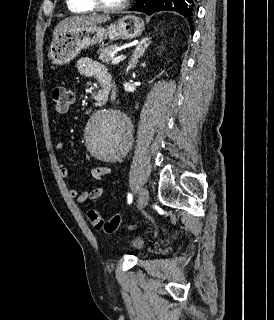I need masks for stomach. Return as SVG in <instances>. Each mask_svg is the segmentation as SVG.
Wrapping results in <instances>:
<instances>
[{
    "instance_id": "stomach-1",
    "label": "stomach",
    "mask_w": 274,
    "mask_h": 320,
    "mask_svg": "<svg viewBox=\"0 0 274 320\" xmlns=\"http://www.w3.org/2000/svg\"><path fill=\"white\" fill-rule=\"evenodd\" d=\"M143 30V20L137 16H123L109 26L96 24L68 28L54 38L48 56L52 64L63 66L74 60L81 50L100 44L103 40H133L141 36Z\"/></svg>"
}]
</instances>
